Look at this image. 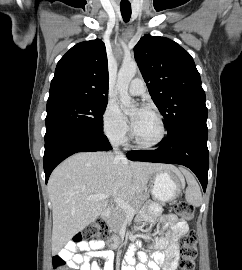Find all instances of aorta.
<instances>
[{"label": "aorta", "instance_id": "762f6f07", "mask_svg": "<svg viewBox=\"0 0 242 270\" xmlns=\"http://www.w3.org/2000/svg\"><path fill=\"white\" fill-rule=\"evenodd\" d=\"M137 69L138 66L135 61L124 62L117 77L116 89L118 91L119 100L125 107L127 114H131L135 111V106L133 105L132 99L128 93V88L131 80L137 72Z\"/></svg>", "mask_w": 242, "mask_h": 270}]
</instances>
